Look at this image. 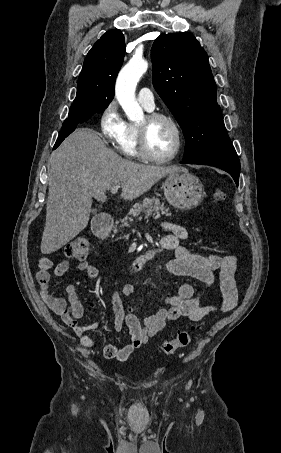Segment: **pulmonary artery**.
I'll return each instance as SVG.
<instances>
[{"label":"pulmonary artery","instance_id":"obj_1","mask_svg":"<svg viewBox=\"0 0 281 453\" xmlns=\"http://www.w3.org/2000/svg\"><path fill=\"white\" fill-rule=\"evenodd\" d=\"M137 100L142 103L148 110H153L155 106L154 96L147 87L142 88L139 91Z\"/></svg>","mask_w":281,"mask_h":453}]
</instances>
